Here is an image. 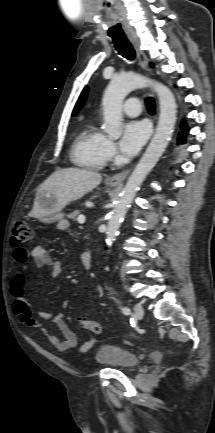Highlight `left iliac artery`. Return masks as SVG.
Here are the masks:
<instances>
[{
    "label": "left iliac artery",
    "mask_w": 215,
    "mask_h": 433,
    "mask_svg": "<svg viewBox=\"0 0 215 433\" xmlns=\"http://www.w3.org/2000/svg\"><path fill=\"white\" fill-rule=\"evenodd\" d=\"M122 312H123L124 314H126V315H129V314H130V309L127 308V307H123V308H122Z\"/></svg>",
    "instance_id": "obj_1"
}]
</instances>
